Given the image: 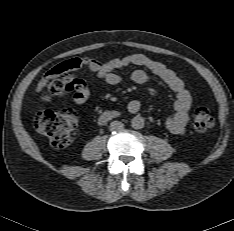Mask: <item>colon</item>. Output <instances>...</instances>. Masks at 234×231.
<instances>
[{
	"label": "colon",
	"mask_w": 234,
	"mask_h": 231,
	"mask_svg": "<svg viewBox=\"0 0 234 231\" xmlns=\"http://www.w3.org/2000/svg\"><path fill=\"white\" fill-rule=\"evenodd\" d=\"M80 63L76 60L67 61L60 66L57 77L50 84L53 94H60L72 89L75 73ZM78 114L70 109L59 111L43 110L34 118L35 130L46 136L54 148H64L71 140V132L78 124ZM194 128L203 133L214 125L213 117L208 109L200 107L194 115Z\"/></svg>",
	"instance_id": "colon-1"
}]
</instances>
